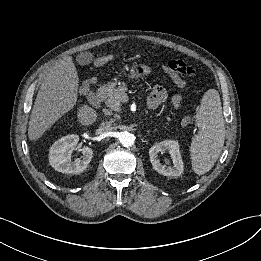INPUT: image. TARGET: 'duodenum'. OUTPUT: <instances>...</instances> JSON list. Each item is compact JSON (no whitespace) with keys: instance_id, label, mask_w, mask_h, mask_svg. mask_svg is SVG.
Masks as SVG:
<instances>
[{"instance_id":"410a0bca","label":"duodenum","mask_w":261,"mask_h":261,"mask_svg":"<svg viewBox=\"0 0 261 261\" xmlns=\"http://www.w3.org/2000/svg\"><path fill=\"white\" fill-rule=\"evenodd\" d=\"M107 93V86L103 85L101 86L96 93V101L101 104L103 102V99Z\"/></svg>"}]
</instances>
